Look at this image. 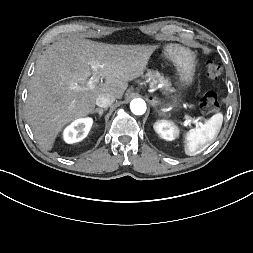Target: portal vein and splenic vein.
<instances>
[{
	"label": "portal vein and splenic vein",
	"mask_w": 253,
	"mask_h": 253,
	"mask_svg": "<svg viewBox=\"0 0 253 253\" xmlns=\"http://www.w3.org/2000/svg\"><path fill=\"white\" fill-rule=\"evenodd\" d=\"M90 64H91V68L93 70V75L88 80L86 86L89 89H93L95 87V85L99 82V77L97 76L98 65L95 62H91ZM70 88L73 89V90H76V91L81 89V87L77 84L72 85ZM193 121H194L196 126H202L203 125L202 122H198L197 120H193ZM190 122H191L190 117L188 115H186V120L184 122V125H188Z\"/></svg>",
	"instance_id": "portal-vein-and-splenic-vein-1"
}]
</instances>
